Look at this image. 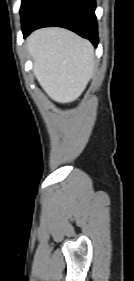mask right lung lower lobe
Returning <instances> with one entry per match:
<instances>
[{
	"label": "right lung lower lobe",
	"instance_id": "1",
	"mask_svg": "<svg viewBox=\"0 0 134 281\" xmlns=\"http://www.w3.org/2000/svg\"><path fill=\"white\" fill-rule=\"evenodd\" d=\"M95 0H36L22 22L24 38L37 28L58 26L98 45Z\"/></svg>",
	"mask_w": 134,
	"mask_h": 281
}]
</instances>
